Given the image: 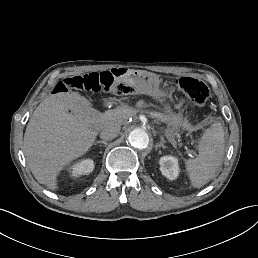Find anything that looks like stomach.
Instances as JSON below:
<instances>
[{
    "label": "stomach",
    "mask_w": 258,
    "mask_h": 258,
    "mask_svg": "<svg viewBox=\"0 0 258 258\" xmlns=\"http://www.w3.org/2000/svg\"><path fill=\"white\" fill-rule=\"evenodd\" d=\"M137 76L141 77V78L144 79V80L149 77L148 75L143 74V73H139V72H138Z\"/></svg>",
    "instance_id": "obj_1"
}]
</instances>
